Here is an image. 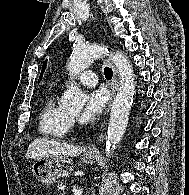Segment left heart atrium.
<instances>
[{"label": "left heart atrium", "instance_id": "1", "mask_svg": "<svg viewBox=\"0 0 189 195\" xmlns=\"http://www.w3.org/2000/svg\"><path fill=\"white\" fill-rule=\"evenodd\" d=\"M108 101V93L105 88L92 90L87 97L84 109L79 115V121L83 124L94 121L103 111Z\"/></svg>", "mask_w": 189, "mask_h": 195}]
</instances>
